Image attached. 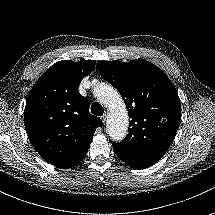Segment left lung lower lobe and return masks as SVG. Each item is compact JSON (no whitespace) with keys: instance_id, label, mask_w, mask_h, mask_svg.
Returning a JSON list of instances; mask_svg holds the SVG:
<instances>
[{"instance_id":"1","label":"left lung lower lobe","mask_w":215,"mask_h":215,"mask_svg":"<svg viewBox=\"0 0 215 215\" xmlns=\"http://www.w3.org/2000/svg\"><path fill=\"white\" fill-rule=\"evenodd\" d=\"M113 150L116 155L129 166L135 169H143L155 164L164 153L139 154L124 151L113 144Z\"/></svg>"}]
</instances>
